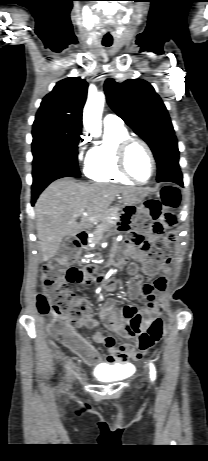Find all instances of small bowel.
<instances>
[{
	"label": "small bowel",
	"mask_w": 208,
	"mask_h": 461,
	"mask_svg": "<svg viewBox=\"0 0 208 461\" xmlns=\"http://www.w3.org/2000/svg\"><path fill=\"white\" fill-rule=\"evenodd\" d=\"M123 213L120 215L121 222H132L134 217H138L140 214L139 209H136L135 204H125L123 206ZM165 241H178L179 233H164ZM126 256L136 259L143 267V272H146L149 268L153 267L152 261L150 260L147 253L142 252L132 246H127L124 249ZM157 268L155 269V271ZM162 276L158 277L154 282H143L142 275H134L127 283V296L131 300L137 299L138 296L143 295L147 298L146 304L138 309L135 306H123L120 310H117L116 303L112 299H107L99 310L100 318L105 322L106 327L112 332L122 336L128 340H138L139 334L144 329L143 320L145 318L153 319L160 312L159 294L166 289L167 285V274L169 268L167 266L160 267ZM93 282L95 284L104 285L105 289L109 292H113L117 288V284L112 280H106L104 277H100L98 274L93 276ZM130 307L134 314L130 317L125 315V308ZM75 325L89 329L98 325V321L88 314L78 320L74 321ZM93 340L99 343H103L107 350L108 355L104 361L106 365H120L122 367V375H126L128 370L132 368L130 361L137 360L139 358V352L131 344H124L119 347L116 346L115 339L107 335L104 331L99 330L93 334ZM69 349L77 353L86 363L98 364L102 361V357L99 355L94 346L83 341L80 346H68Z\"/></svg>",
	"instance_id": "obj_1"
}]
</instances>
